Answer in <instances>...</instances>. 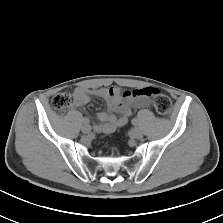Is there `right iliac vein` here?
Instances as JSON below:
<instances>
[{"instance_id": "63e3f726", "label": "right iliac vein", "mask_w": 223, "mask_h": 223, "mask_svg": "<svg viewBox=\"0 0 223 223\" xmlns=\"http://www.w3.org/2000/svg\"><path fill=\"white\" fill-rule=\"evenodd\" d=\"M90 131H91V127H90V125H88V124L83 125V127H82V132H83L84 134H89Z\"/></svg>"}]
</instances>
